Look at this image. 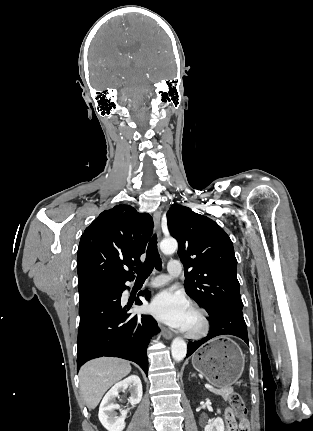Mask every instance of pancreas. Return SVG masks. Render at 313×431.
Masks as SVG:
<instances>
[{"label": "pancreas", "instance_id": "obj_1", "mask_svg": "<svg viewBox=\"0 0 313 431\" xmlns=\"http://www.w3.org/2000/svg\"><path fill=\"white\" fill-rule=\"evenodd\" d=\"M210 391L216 395L221 396L224 400H228L230 396L233 394L234 390L232 387L224 388V389H210Z\"/></svg>", "mask_w": 313, "mask_h": 431}]
</instances>
